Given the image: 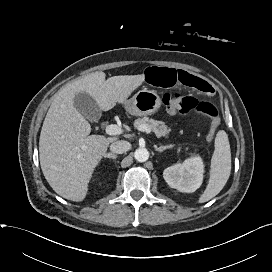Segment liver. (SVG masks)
Instances as JSON below:
<instances>
[{
  "label": "liver",
  "instance_id": "6515ba94",
  "mask_svg": "<svg viewBox=\"0 0 272 272\" xmlns=\"http://www.w3.org/2000/svg\"><path fill=\"white\" fill-rule=\"evenodd\" d=\"M94 72L67 84L54 97L43 122L40 165L45 179L61 197L80 202L88 192L95 167L116 137L89 135L91 126L74 106L78 93H87L102 111L123 104L145 80L143 74L113 76Z\"/></svg>",
  "mask_w": 272,
  "mask_h": 272
}]
</instances>
